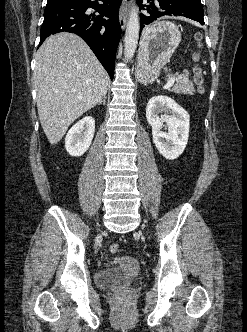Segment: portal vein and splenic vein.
<instances>
[{
  "instance_id": "obj_1",
  "label": "portal vein and splenic vein",
  "mask_w": 247,
  "mask_h": 332,
  "mask_svg": "<svg viewBox=\"0 0 247 332\" xmlns=\"http://www.w3.org/2000/svg\"><path fill=\"white\" fill-rule=\"evenodd\" d=\"M174 83H175V78L174 77L170 78L163 88L169 89L170 87H172L174 85Z\"/></svg>"
}]
</instances>
